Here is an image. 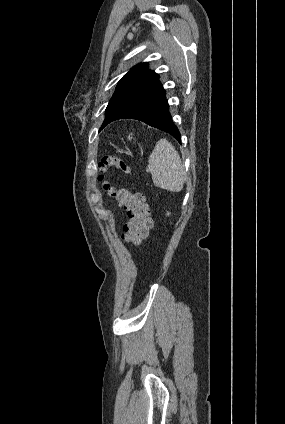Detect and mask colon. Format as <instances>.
Wrapping results in <instances>:
<instances>
[{
  "label": "colon",
  "mask_w": 285,
  "mask_h": 424,
  "mask_svg": "<svg viewBox=\"0 0 285 424\" xmlns=\"http://www.w3.org/2000/svg\"><path fill=\"white\" fill-rule=\"evenodd\" d=\"M108 168H115L123 173H131L130 165L116 155H104L99 162V181L107 193L117 201L118 205L127 211L128 222L124 226L123 240L126 243L138 245L148 235L152 227L149 204L143 193H133L127 189H116L104 180Z\"/></svg>",
  "instance_id": "obj_1"
}]
</instances>
